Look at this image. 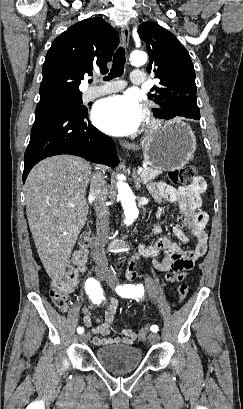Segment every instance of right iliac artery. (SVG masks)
<instances>
[{
  "instance_id": "obj_1",
  "label": "right iliac artery",
  "mask_w": 243,
  "mask_h": 409,
  "mask_svg": "<svg viewBox=\"0 0 243 409\" xmlns=\"http://www.w3.org/2000/svg\"><path fill=\"white\" fill-rule=\"evenodd\" d=\"M85 290L93 302L100 303L103 299V290L100 287L99 282L94 278H89L86 281ZM77 332L79 334H82L84 332V329L82 327H78Z\"/></svg>"
}]
</instances>
